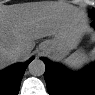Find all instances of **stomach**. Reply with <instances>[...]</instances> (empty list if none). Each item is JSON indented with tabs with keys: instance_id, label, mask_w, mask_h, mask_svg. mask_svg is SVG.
Instances as JSON below:
<instances>
[{
	"instance_id": "0dacf381",
	"label": "stomach",
	"mask_w": 95,
	"mask_h": 95,
	"mask_svg": "<svg viewBox=\"0 0 95 95\" xmlns=\"http://www.w3.org/2000/svg\"><path fill=\"white\" fill-rule=\"evenodd\" d=\"M83 27L80 24L70 25L60 30L52 39L46 40V48H41L54 60H62L71 50L75 49L83 36Z\"/></svg>"
}]
</instances>
